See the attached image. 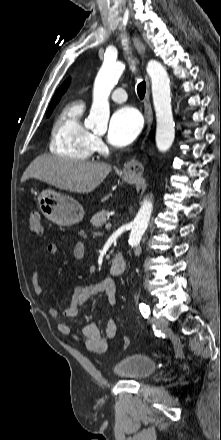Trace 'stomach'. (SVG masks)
<instances>
[{
  "label": "stomach",
  "mask_w": 221,
  "mask_h": 440,
  "mask_svg": "<svg viewBox=\"0 0 221 440\" xmlns=\"http://www.w3.org/2000/svg\"><path fill=\"white\" fill-rule=\"evenodd\" d=\"M123 177L128 183H135L138 179L135 174L127 172ZM38 204L47 219L61 226L79 223L84 217V209L78 201L50 188L39 193Z\"/></svg>",
  "instance_id": "stomach-1"
}]
</instances>
